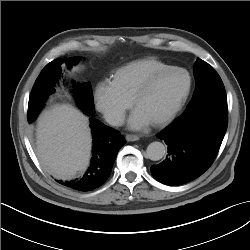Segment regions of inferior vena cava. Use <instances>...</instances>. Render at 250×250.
I'll return each mask as SVG.
<instances>
[{
	"mask_svg": "<svg viewBox=\"0 0 250 250\" xmlns=\"http://www.w3.org/2000/svg\"><path fill=\"white\" fill-rule=\"evenodd\" d=\"M105 120L113 126H121L124 123L125 117L123 113L111 111L105 115Z\"/></svg>",
	"mask_w": 250,
	"mask_h": 250,
	"instance_id": "602c4592",
	"label": "inferior vena cava"
}]
</instances>
